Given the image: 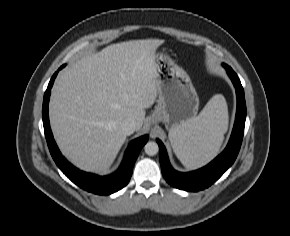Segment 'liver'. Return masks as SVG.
Returning <instances> with one entry per match:
<instances>
[{
    "label": "liver",
    "instance_id": "1",
    "mask_svg": "<svg viewBox=\"0 0 290 236\" xmlns=\"http://www.w3.org/2000/svg\"><path fill=\"white\" fill-rule=\"evenodd\" d=\"M159 39L111 44L82 57L55 82L49 104L54 138L79 169L105 173L126 140L121 124L142 128L158 95L155 53Z\"/></svg>",
    "mask_w": 290,
    "mask_h": 236
}]
</instances>
